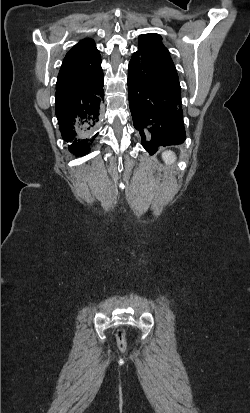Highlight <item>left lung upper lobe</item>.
Returning a JSON list of instances; mask_svg holds the SVG:
<instances>
[{
    "mask_svg": "<svg viewBox=\"0 0 250 413\" xmlns=\"http://www.w3.org/2000/svg\"><path fill=\"white\" fill-rule=\"evenodd\" d=\"M147 36H153V37H157V38H161L160 35L158 34H145V35H141L139 36V43H141Z\"/></svg>",
    "mask_w": 250,
    "mask_h": 413,
    "instance_id": "5c2ea615",
    "label": "left lung upper lobe"
}]
</instances>
